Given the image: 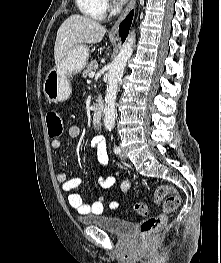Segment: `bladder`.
Masks as SVG:
<instances>
[{"label": "bladder", "instance_id": "obj_1", "mask_svg": "<svg viewBox=\"0 0 221 263\" xmlns=\"http://www.w3.org/2000/svg\"><path fill=\"white\" fill-rule=\"evenodd\" d=\"M82 223L100 227L109 233L123 238L129 236L135 227L133 221L108 214L85 217L82 219Z\"/></svg>", "mask_w": 221, "mask_h": 263}]
</instances>
